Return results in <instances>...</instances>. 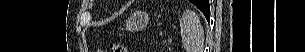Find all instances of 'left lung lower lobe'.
<instances>
[{"instance_id": "left-lung-lower-lobe-1", "label": "left lung lower lobe", "mask_w": 305, "mask_h": 52, "mask_svg": "<svg viewBox=\"0 0 305 52\" xmlns=\"http://www.w3.org/2000/svg\"><path fill=\"white\" fill-rule=\"evenodd\" d=\"M202 13L205 15L206 19L209 21L210 19V7H209V1L204 0V6L203 8H199Z\"/></svg>"}]
</instances>
